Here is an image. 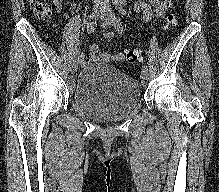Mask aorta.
Returning <instances> with one entry per match:
<instances>
[{
    "mask_svg": "<svg viewBox=\"0 0 219 192\" xmlns=\"http://www.w3.org/2000/svg\"><path fill=\"white\" fill-rule=\"evenodd\" d=\"M113 3H118L120 0H112Z\"/></svg>",
    "mask_w": 219,
    "mask_h": 192,
    "instance_id": "aorta-1",
    "label": "aorta"
}]
</instances>
